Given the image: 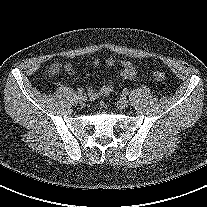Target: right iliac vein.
I'll list each match as a JSON object with an SVG mask.
<instances>
[{"label": "right iliac vein", "instance_id": "63e3f726", "mask_svg": "<svg viewBox=\"0 0 207 207\" xmlns=\"http://www.w3.org/2000/svg\"><path fill=\"white\" fill-rule=\"evenodd\" d=\"M77 100H78L79 104L84 105L86 102V97L84 95H78Z\"/></svg>", "mask_w": 207, "mask_h": 207}]
</instances>
